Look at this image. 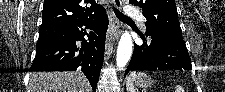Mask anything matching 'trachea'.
Returning a JSON list of instances; mask_svg holds the SVG:
<instances>
[{"instance_id":"trachea-1","label":"trachea","mask_w":225,"mask_h":92,"mask_svg":"<svg viewBox=\"0 0 225 92\" xmlns=\"http://www.w3.org/2000/svg\"><path fill=\"white\" fill-rule=\"evenodd\" d=\"M113 10L115 12V15L120 19H130L128 16L124 15L120 11H118L115 7H113Z\"/></svg>"}]
</instances>
